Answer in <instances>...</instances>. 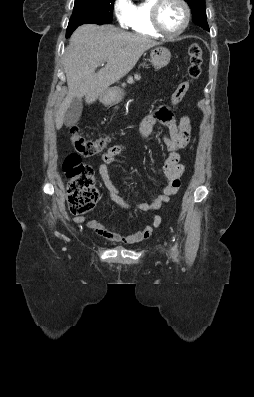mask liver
I'll return each instance as SVG.
<instances>
[{
    "instance_id": "6515ba94",
    "label": "liver",
    "mask_w": 254,
    "mask_h": 397,
    "mask_svg": "<svg viewBox=\"0 0 254 397\" xmlns=\"http://www.w3.org/2000/svg\"><path fill=\"white\" fill-rule=\"evenodd\" d=\"M159 44L151 37L125 32L112 25L78 27L63 56L68 93L56 113V128L62 127L74 98L84 96L87 104L100 99L110 85L133 69L146 50ZM102 63L106 65L95 73Z\"/></svg>"
}]
</instances>
